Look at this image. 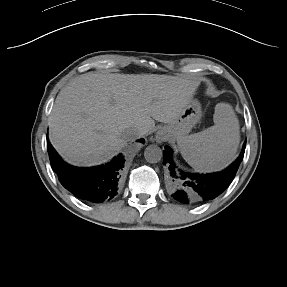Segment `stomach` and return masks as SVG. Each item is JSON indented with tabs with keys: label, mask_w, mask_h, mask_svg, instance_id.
Wrapping results in <instances>:
<instances>
[{
	"label": "stomach",
	"mask_w": 287,
	"mask_h": 287,
	"mask_svg": "<svg viewBox=\"0 0 287 287\" xmlns=\"http://www.w3.org/2000/svg\"><path fill=\"white\" fill-rule=\"evenodd\" d=\"M202 116L201 105L197 100L191 99L184 108L182 114L175 121L163 126L156 134L158 139L169 141L179 140L187 136L193 126L199 122Z\"/></svg>",
	"instance_id": "1"
}]
</instances>
